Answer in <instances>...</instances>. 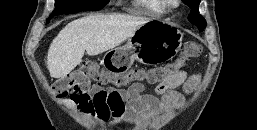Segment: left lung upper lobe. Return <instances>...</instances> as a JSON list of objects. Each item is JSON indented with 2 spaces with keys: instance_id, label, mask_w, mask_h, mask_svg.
<instances>
[{
  "instance_id": "left-lung-upper-lobe-1",
  "label": "left lung upper lobe",
  "mask_w": 257,
  "mask_h": 130,
  "mask_svg": "<svg viewBox=\"0 0 257 130\" xmlns=\"http://www.w3.org/2000/svg\"><path fill=\"white\" fill-rule=\"evenodd\" d=\"M184 2L191 8V13L188 16L189 22L196 25L200 31H203L207 24L198 11L200 0H184Z\"/></svg>"
}]
</instances>
